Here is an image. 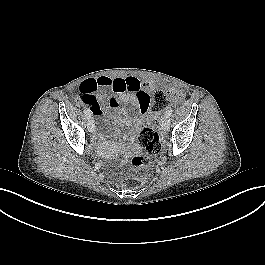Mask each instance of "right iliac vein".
Masks as SVG:
<instances>
[{
    "instance_id": "1",
    "label": "right iliac vein",
    "mask_w": 265,
    "mask_h": 265,
    "mask_svg": "<svg viewBox=\"0 0 265 265\" xmlns=\"http://www.w3.org/2000/svg\"><path fill=\"white\" fill-rule=\"evenodd\" d=\"M87 129L89 132L93 133L94 130H95V126H94V121L92 119H89L88 120V123H87Z\"/></svg>"
}]
</instances>
